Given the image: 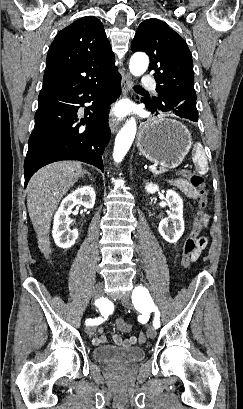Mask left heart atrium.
<instances>
[{
	"label": "left heart atrium",
	"instance_id": "39dd6f15",
	"mask_svg": "<svg viewBox=\"0 0 243 409\" xmlns=\"http://www.w3.org/2000/svg\"><path fill=\"white\" fill-rule=\"evenodd\" d=\"M118 112H119V113H123V112H124V109H121V108H120V109L118 110Z\"/></svg>",
	"mask_w": 243,
	"mask_h": 409
}]
</instances>
